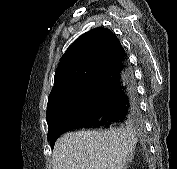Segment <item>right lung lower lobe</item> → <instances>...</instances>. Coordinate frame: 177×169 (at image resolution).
<instances>
[{"mask_svg": "<svg viewBox=\"0 0 177 169\" xmlns=\"http://www.w3.org/2000/svg\"><path fill=\"white\" fill-rule=\"evenodd\" d=\"M92 97L79 113L65 119L50 139L51 147L69 130L109 127L113 123L135 121L140 117L135 78L125 52L97 72L90 80Z\"/></svg>", "mask_w": 177, "mask_h": 169, "instance_id": "1", "label": "right lung lower lobe"}]
</instances>
